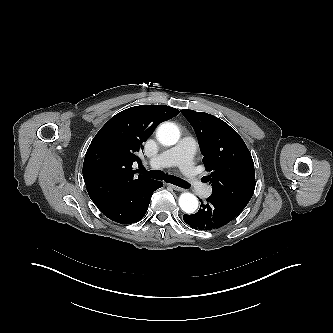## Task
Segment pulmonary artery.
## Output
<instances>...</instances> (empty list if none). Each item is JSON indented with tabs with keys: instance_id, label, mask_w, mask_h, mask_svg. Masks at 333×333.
I'll return each mask as SVG.
<instances>
[{
	"instance_id": "1",
	"label": "pulmonary artery",
	"mask_w": 333,
	"mask_h": 333,
	"mask_svg": "<svg viewBox=\"0 0 333 333\" xmlns=\"http://www.w3.org/2000/svg\"><path fill=\"white\" fill-rule=\"evenodd\" d=\"M196 150V142L191 137H184L173 148L168 149L150 160L153 167L178 166L187 178L191 186L202 196H209L211 188L203 185L195 172L193 156Z\"/></svg>"
}]
</instances>
